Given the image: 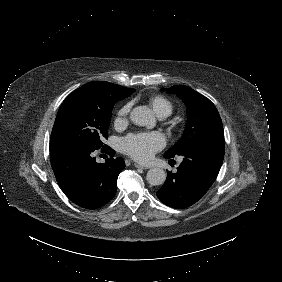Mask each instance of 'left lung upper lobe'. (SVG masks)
Here are the masks:
<instances>
[{
	"instance_id": "5c2ea615",
	"label": "left lung upper lobe",
	"mask_w": 282,
	"mask_h": 282,
	"mask_svg": "<svg viewBox=\"0 0 282 282\" xmlns=\"http://www.w3.org/2000/svg\"><path fill=\"white\" fill-rule=\"evenodd\" d=\"M176 94L187 106V122L181 139L164 154L165 157L180 155L189 147L206 141H224L222 121L214 104L193 89L175 85L162 89Z\"/></svg>"
}]
</instances>
